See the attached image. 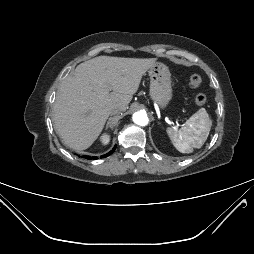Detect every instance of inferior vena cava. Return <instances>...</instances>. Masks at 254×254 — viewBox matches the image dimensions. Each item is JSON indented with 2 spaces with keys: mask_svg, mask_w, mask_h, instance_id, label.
Segmentation results:
<instances>
[{
  "mask_svg": "<svg viewBox=\"0 0 254 254\" xmlns=\"http://www.w3.org/2000/svg\"><path fill=\"white\" fill-rule=\"evenodd\" d=\"M122 112V109L121 107L119 106H115L113 107L111 110H110V115H117V114H120Z\"/></svg>",
  "mask_w": 254,
  "mask_h": 254,
  "instance_id": "602c4592",
  "label": "inferior vena cava"
}]
</instances>
